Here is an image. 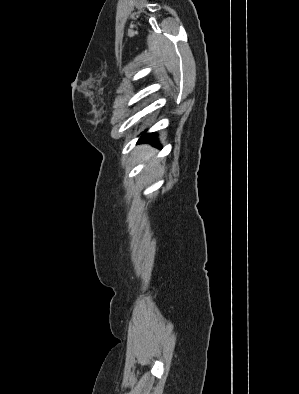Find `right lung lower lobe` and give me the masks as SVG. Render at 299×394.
Instances as JSON below:
<instances>
[{
  "label": "right lung lower lobe",
  "instance_id": "obj_1",
  "mask_svg": "<svg viewBox=\"0 0 299 394\" xmlns=\"http://www.w3.org/2000/svg\"><path fill=\"white\" fill-rule=\"evenodd\" d=\"M141 139L142 140H152L153 142H155L156 143V141H157V136H156V134L155 133H150V134H144L143 133V136L141 137Z\"/></svg>",
  "mask_w": 299,
  "mask_h": 394
}]
</instances>
